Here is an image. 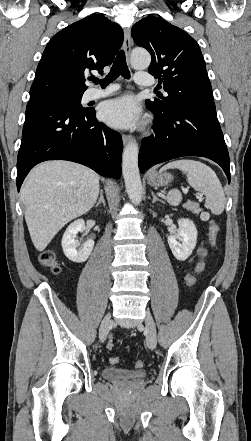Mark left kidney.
<instances>
[{"instance_id": "left-kidney-1", "label": "left kidney", "mask_w": 251, "mask_h": 441, "mask_svg": "<svg viewBox=\"0 0 251 441\" xmlns=\"http://www.w3.org/2000/svg\"><path fill=\"white\" fill-rule=\"evenodd\" d=\"M178 226L177 233L168 236L167 241L174 257L179 261H185L196 246L198 233L190 219H178Z\"/></svg>"}]
</instances>
